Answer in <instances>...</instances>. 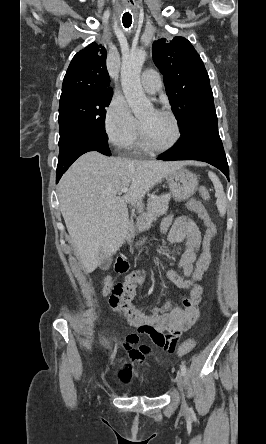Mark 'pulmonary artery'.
<instances>
[{
    "instance_id": "1",
    "label": "pulmonary artery",
    "mask_w": 266,
    "mask_h": 444,
    "mask_svg": "<svg viewBox=\"0 0 266 444\" xmlns=\"http://www.w3.org/2000/svg\"><path fill=\"white\" fill-rule=\"evenodd\" d=\"M141 85L150 94L158 92L162 86L160 74L155 69L145 70L141 76Z\"/></svg>"
}]
</instances>
